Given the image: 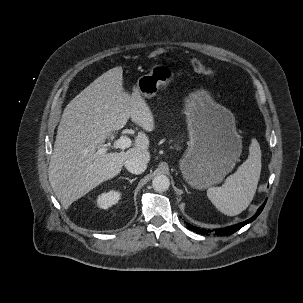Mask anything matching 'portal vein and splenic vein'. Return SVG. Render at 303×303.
Segmentation results:
<instances>
[{"instance_id":"18ae733b","label":"portal vein and splenic vein","mask_w":303,"mask_h":303,"mask_svg":"<svg viewBox=\"0 0 303 303\" xmlns=\"http://www.w3.org/2000/svg\"><path fill=\"white\" fill-rule=\"evenodd\" d=\"M132 145V141L127 136H121L119 139L115 140L114 144L111 146L114 149H126ZM108 148L102 147L97 150V154L106 153Z\"/></svg>"}]
</instances>
